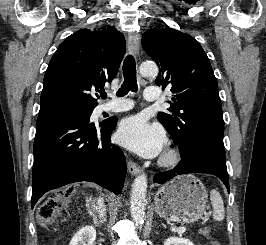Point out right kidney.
Here are the masks:
<instances>
[{
    "mask_svg": "<svg viewBox=\"0 0 266 245\" xmlns=\"http://www.w3.org/2000/svg\"><path fill=\"white\" fill-rule=\"evenodd\" d=\"M94 241H96L95 227H83L75 233L69 245H93Z\"/></svg>",
    "mask_w": 266,
    "mask_h": 245,
    "instance_id": "ca27d5eb",
    "label": "right kidney"
}]
</instances>
